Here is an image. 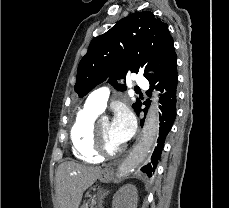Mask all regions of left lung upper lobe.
<instances>
[{"label":"left lung upper lobe","mask_w":229,"mask_h":208,"mask_svg":"<svg viewBox=\"0 0 229 208\" xmlns=\"http://www.w3.org/2000/svg\"><path fill=\"white\" fill-rule=\"evenodd\" d=\"M175 60L177 56L168 25L150 11L135 12L91 41L78 65L74 89L82 98L109 77L111 84L124 91L126 86L117 84L116 80L125 78L128 71L137 73L146 62L144 76L150 83L157 82ZM149 70L155 71V81ZM140 105L137 99L132 107L137 110Z\"/></svg>","instance_id":"obj_1"}]
</instances>
